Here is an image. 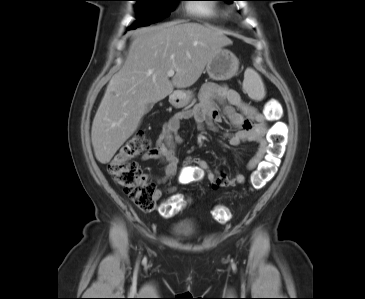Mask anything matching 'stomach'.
<instances>
[{"instance_id": "stomach-1", "label": "stomach", "mask_w": 365, "mask_h": 299, "mask_svg": "<svg viewBox=\"0 0 365 299\" xmlns=\"http://www.w3.org/2000/svg\"><path fill=\"white\" fill-rule=\"evenodd\" d=\"M238 69V58L231 51L223 48L217 51L206 66V71L213 80H228L237 73ZM192 98V91L179 90L170 95L169 102L176 108H182L187 106Z\"/></svg>"}]
</instances>
